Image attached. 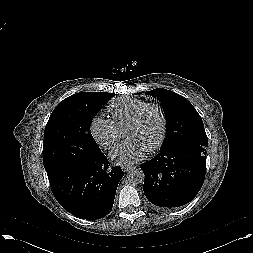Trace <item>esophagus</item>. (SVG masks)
I'll use <instances>...</instances> for the list:
<instances>
[{
  "label": "esophagus",
  "mask_w": 253,
  "mask_h": 253,
  "mask_svg": "<svg viewBox=\"0 0 253 253\" xmlns=\"http://www.w3.org/2000/svg\"><path fill=\"white\" fill-rule=\"evenodd\" d=\"M134 168V166L133 165H125V166H122V170L124 171V172H128V171H130L131 169H133Z\"/></svg>",
  "instance_id": "esophagus-1"
}]
</instances>
